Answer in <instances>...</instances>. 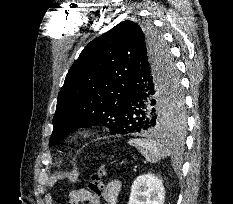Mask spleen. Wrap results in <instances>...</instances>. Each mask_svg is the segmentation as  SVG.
I'll use <instances>...</instances> for the list:
<instances>
[{
	"mask_svg": "<svg viewBox=\"0 0 233 204\" xmlns=\"http://www.w3.org/2000/svg\"><path fill=\"white\" fill-rule=\"evenodd\" d=\"M129 145L137 148L150 163H156L170 155H176L175 147L164 145L154 139H130Z\"/></svg>",
	"mask_w": 233,
	"mask_h": 204,
	"instance_id": "1",
	"label": "spleen"
}]
</instances>
